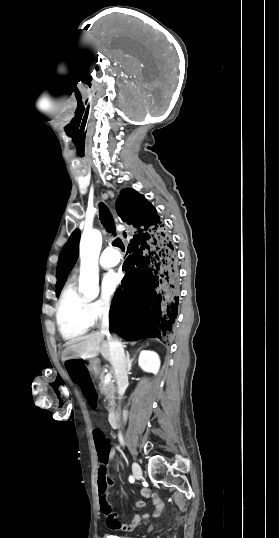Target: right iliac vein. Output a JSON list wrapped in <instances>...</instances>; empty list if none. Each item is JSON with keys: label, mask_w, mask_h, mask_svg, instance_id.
<instances>
[{"label": "right iliac vein", "mask_w": 279, "mask_h": 538, "mask_svg": "<svg viewBox=\"0 0 279 538\" xmlns=\"http://www.w3.org/2000/svg\"><path fill=\"white\" fill-rule=\"evenodd\" d=\"M132 471H133L134 477L136 479H140V477L142 476V470L138 463L134 462L132 464Z\"/></svg>", "instance_id": "1"}]
</instances>
